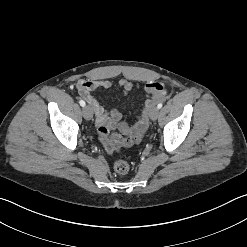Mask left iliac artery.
<instances>
[{"instance_id": "obj_1", "label": "left iliac artery", "mask_w": 247, "mask_h": 247, "mask_svg": "<svg viewBox=\"0 0 247 247\" xmlns=\"http://www.w3.org/2000/svg\"><path fill=\"white\" fill-rule=\"evenodd\" d=\"M162 106H163V104H162V103H159V104L157 105V108L160 109V108H162Z\"/></svg>"}]
</instances>
